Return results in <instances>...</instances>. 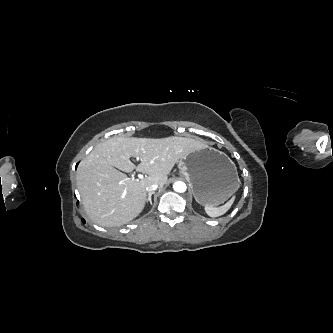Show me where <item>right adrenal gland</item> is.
Masks as SVG:
<instances>
[{"label":"right adrenal gland","instance_id":"1","mask_svg":"<svg viewBox=\"0 0 333 333\" xmlns=\"http://www.w3.org/2000/svg\"><path fill=\"white\" fill-rule=\"evenodd\" d=\"M155 192H150L149 194H148V198H147V200H146V202L148 203H150V205H152V200H151V197H152V195L154 194Z\"/></svg>","mask_w":333,"mask_h":333}]
</instances>
